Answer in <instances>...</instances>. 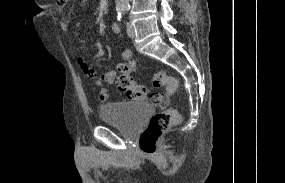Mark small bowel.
<instances>
[{
	"instance_id": "c3829d8e",
	"label": "small bowel",
	"mask_w": 285,
	"mask_h": 183,
	"mask_svg": "<svg viewBox=\"0 0 285 183\" xmlns=\"http://www.w3.org/2000/svg\"><path fill=\"white\" fill-rule=\"evenodd\" d=\"M67 1L68 0H66L65 2H67ZM58 9L60 11H62L63 6H60ZM60 28L63 32H67L69 30V25L66 21H61L60 22ZM112 29L115 33H119V31H120L119 26L116 24L113 25ZM95 48H96V52H95V55L93 57V61L103 57L105 54V49H104V45L102 42H96ZM131 56H132L131 51L128 48L124 49V51L122 52L123 60L128 61V60H130ZM80 62H81V65L86 66L92 72L91 79L94 80V84L98 88L99 100L102 102L106 101L108 99L107 85L111 84L114 81L115 76H116V72L114 70L97 72V71L93 70L89 64H85L81 60H80Z\"/></svg>"
}]
</instances>
